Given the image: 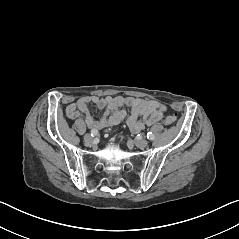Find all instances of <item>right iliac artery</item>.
<instances>
[{
    "label": "right iliac artery",
    "instance_id": "1",
    "mask_svg": "<svg viewBox=\"0 0 239 239\" xmlns=\"http://www.w3.org/2000/svg\"><path fill=\"white\" fill-rule=\"evenodd\" d=\"M97 134H98L97 130H95V129L91 130V136L92 137L96 136Z\"/></svg>",
    "mask_w": 239,
    "mask_h": 239
}]
</instances>
